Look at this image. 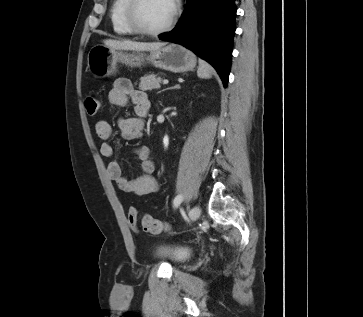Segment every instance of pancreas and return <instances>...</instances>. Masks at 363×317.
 Listing matches in <instances>:
<instances>
[{"label": "pancreas", "instance_id": "pancreas-1", "mask_svg": "<svg viewBox=\"0 0 363 317\" xmlns=\"http://www.w3.org/2000/svg\"><path fill=\"white\" fill-rule=\"evenodd\" d=\"M162 82L161 77H157L155 74H147L140 78L139 89L143 91L159 89Z\"/></svg>", "mask_w": 363, "mask_h": 317}]
</instances>
